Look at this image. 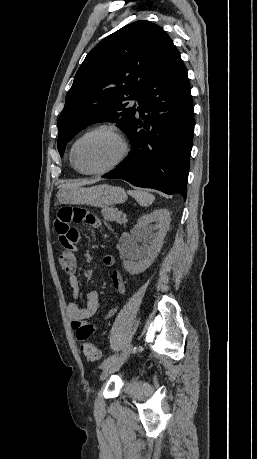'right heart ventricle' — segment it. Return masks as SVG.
<instances>
[{
	"label": "right heart ventricle",
	"instance_id": "e07e8e85",
	"mask_svg": "<svg viewBox=\"0 0 257 459\" xmlns=\"http://www.w3.org/2000/svg\"><path fill=\"white\" fill-rule=\"evenodd\" d=\"M70 163H71V165H72L71 159H70ZM72 166H73V165H72ZM73 167H74V166H73Z\"/></svg>",
	"mask_w": 257,
	"mask_h": 459
}]
</instances>
